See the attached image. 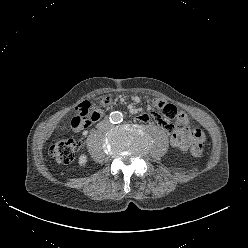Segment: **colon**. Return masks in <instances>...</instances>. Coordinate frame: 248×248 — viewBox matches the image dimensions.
<instances>
[{"label": "colon", "instance_id": "obj_1", "mask_svg": "<svg viewBox=\"0 0 248 248\" xmlns=\"http://www.w3.org/2000/svg\"><path fill=\"white\" fill-rule=\"evenodd\" d=\"M108 99L102 100L107 103ZM170 104V103H169ZM98 109L93 108L89 102H82L76 108V114L71 120V128L80 132L86 130L90 124L96 119ZM192 145L190 152L194 156H200L204 150L205 135L199 129L191 131ZM78 148V142L73 138H63L49 148L52 157L60 164H69L74 160L75 152Z\"/></svg>", "mask_w": 248, "mask_h": 248}]
</instances>
